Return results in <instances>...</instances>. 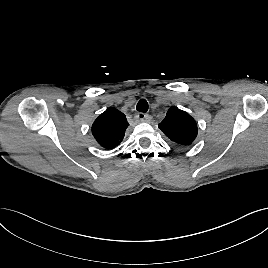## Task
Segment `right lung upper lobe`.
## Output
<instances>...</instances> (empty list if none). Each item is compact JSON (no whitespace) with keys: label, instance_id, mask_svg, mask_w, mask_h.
I'll return each instance as SVG.
<instances>
[{"label":"right lung upper lobe","instance_id":"1","mask_svg":"<svg viewBox=\"0 0 268 268\" xmlns=\"http://www.w3.org/2000/svg\"><path fill=\"white\" fill-rule=\"evenodd\" d=\"M129 126L126 116L115 108H108L93 123L92 134L104 149L117 147Z\"/></svg>","mask_w":268,"mask_h":268}]
</instances>
